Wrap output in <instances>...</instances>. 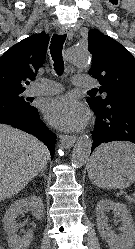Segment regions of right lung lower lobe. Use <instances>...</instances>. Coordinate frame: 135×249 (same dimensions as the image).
<instances>
[{
    "label": "right lung lower lobe",
    "instance_id": "obj_1",
    "mask_svg": "<svg viewBox=\"0 0 135 249\" xmlns=\"http://www.w3.org/2000/svg\"><path fill=\"white\" fill-rule=\"evenodd\" d=\"M0 123L12 125L44 142L54 156L56 135L51 132L39 117L37 108L19 102L0 98Z\"/></svg>",
    "mask_w": 135,
    "mask_h": 249
}]
</instances>
